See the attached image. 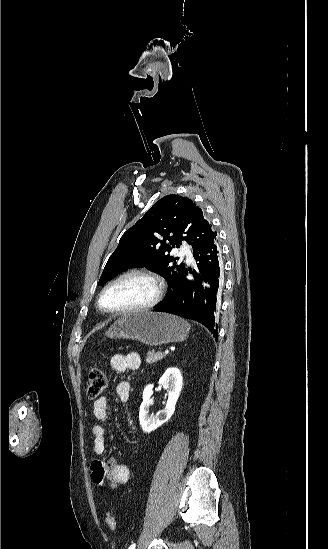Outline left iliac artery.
Instances as JSON below:
<instances>
[{
	"label": "left iliac artery",
	"mask_w": 328,
	"mask_h": 549,
	"mask_svg": "<svg viewBox=\"0 0 328 549\" xmlns=\"http://www.w3.org/2000/svg\"><path fill=\"white\" fill-rule=\"evenodd\" d=\"M128 549H135V544H132Z\"/></svg>",
	"instance_id": "left-iliac-artery-1"
}]
</instances>
